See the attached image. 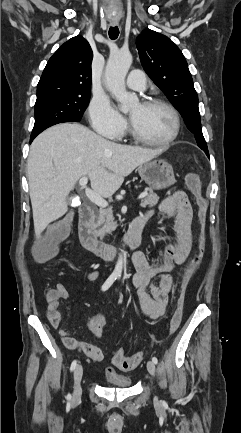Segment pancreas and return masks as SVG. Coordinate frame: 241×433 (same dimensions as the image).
Masks as SVG:
<instances>
[{
    "mask_svg": "<svg viewBox=\"0 0 241 433\" xmlns=\"http://www.w3.org/2000/svg\"><path fill=\"white\" fill-rule=\"evenodd\" d=\"M159 197L150 190L147 196L142 200V207H154L157 205ZM117 225L114 222L113 212L111 209H99L94 215V229L97 235L103 237L107 233H111L116 229Z\"/></svg>",
    "mask_w": 241,
    "mask_h": 433,
    "instance_id": "1",
    "label": "pancreas"
}]
</instances>
